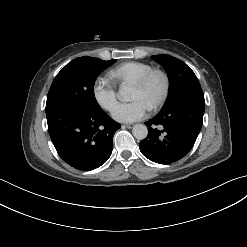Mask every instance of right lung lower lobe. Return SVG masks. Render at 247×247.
<instances>
[{"label":"right lung lower lobe","mask_w":247,"mask_h":247,"mask_svg":"<svg viewBox=\"0 0 247 247\" xmlns=\"http://www.w3.org/2000/svg\"><path fill=\"white\" fill-rule=\"evenodd\" d=\"M46 117L48 132L59 156L72 167L90 171L111 156L113 136L121 125L102 109L91 112L63 107Z\"/></svg>","instance_id":"1"}]
</instances>
